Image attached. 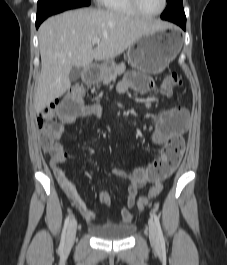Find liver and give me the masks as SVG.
<instances>
[{
	"label": "liver",
	"mask_w": 227,
	"mask_h": 265,
	"mask_svg": "<svg viewBox=\"0 0 227 265\" xmlns=\"http://www.w3.org/2000/svg\"><path fill=\"white\" fill-rule=\"evenodd\" d=\"M161 23L117 11L79 9L48 18L39 28L41 73L34 98L40 113L71 86L72 67H88L93 60L109 61L140 37L164 29ZM100 38L92 48V39Z\"/></svg>",
	"instance_id": "1"
}]
</instances>
